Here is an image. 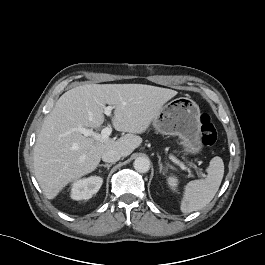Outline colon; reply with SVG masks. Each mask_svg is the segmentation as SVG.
Returning <instances> with one entry per match:
<instances>
[{
    "label": "colon",
    "instance_id": "colon-1",
    "mask_svg": "<svg viewBox=\"0 0 265 265\" xmlns=\"http://www.w3.org/2000/svg\"><path fill=\"white\" fill-rule=\"evenodd\" d=\"M200 131L202 143L205 146H212L217 139V131L212 118L208 114H203L200 118Z\"/></svg>",
    "mask_w": 265,
    "mask_h": 265
}]
</instances>
